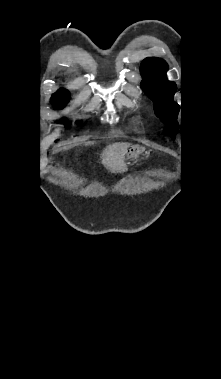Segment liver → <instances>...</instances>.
<instances>
[{
    "label": "liver",
    "instance_id": "obj_1",
    "mask_svg": "<svg viewBox=\"0 0 221 379\" xmlns=\"http://www.w3.org/2000/svg\"><path fill=\"white\" fill-rule=\"evenodd\" d=\"M128 143H114L108 145L102 153V163L111 172H121L124 169V160Z\"/></svg>",
    "mask_w": 221,
    "mask_h": 379
}]
</instances>
